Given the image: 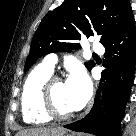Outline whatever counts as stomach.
<instances>
[{
  "instance_id": "stomach-1",
  "label": "stomach",
  "mask_w": 136,
  "mask_h": 136,
  "mask_svg": "<svg viewBox=\"0 0 136 136\" xmlns=\"http://www.w3.org/2000/svg\"><path fill=\"white\" fill-rule=\"evenodd\" d=\"M54 136H73V135H66L65 132H63V133L55 134Z\"/></svg>"
}]
</instances>
